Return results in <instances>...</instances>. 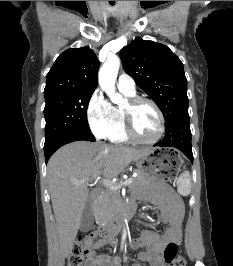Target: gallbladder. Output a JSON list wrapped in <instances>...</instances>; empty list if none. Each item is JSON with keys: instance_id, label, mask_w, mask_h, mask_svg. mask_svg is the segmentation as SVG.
I'll return each instance as SVG.
<instances>
[{"instance_id": "gallbladder-1", "label": "gallbladder", "mask_w": 233, "mask_h": 266, "mask_svg": "<svg viewBox=\"0 0 233 266\" xmlns=\"http://www.w3.org/2000/svg\"><path fill=\"white\" fill-rule=\"evenodd\" d=\"M94 222V217L91 209V205L89 202L86 203L85 209L83 211L82 220L80 224V230L82 232L89 231Z\"/></svg>"}]
</instances>
